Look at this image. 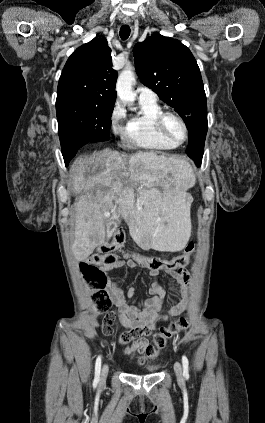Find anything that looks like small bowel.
I'll return each instance as SVG.
<instances>
[{
	"instance_id": "c3829d8e",
	"label": "small bowel",
	"mask_w": 265,
	"mask_h": 423,
	"mask_svg": "<svg viewBox=\"0 0 265 423\" xmlns=\"http://www.w3.org/2000/svg\"><path fill=\"white\" fill-rule=\"evenodd\" d=\"M143 265L133 259H118L115 263L104 265L101 270L105 274L107 283V292L110 296L112 303L118 309V317L120 323L131 330L130 334H126L121 338L122 343H127L131 339H136L133 345L127 349V352L142 351L146 346V340L141 337L146 332L154 329L157 324L166 322L169 317H175L182 314L188 306V297L186 295L187 290L190 286V274L183 267L178 271H168L169 273L182 287L184 299L181 303L173 306L168 314L161 315L159 310L162 307V300L165 297V291L155 281V278L159 273L150 272V277L153 279L148 293L151 295L150 298L143 301L141 307L130 305L127 303V298L135 301H139V297L135 293V288L130 287L126 293L118 287L117 283L111 279L110 275L113 271L128 267L130 269H138Z\"/></svg>"
}]
</instances>
